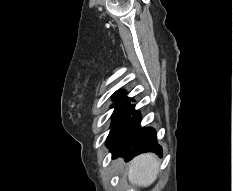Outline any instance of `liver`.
Here are the masks:
<instances>
[{"instance_id":"6515ba94","label":"liver","mask_w":233,"mask_h":191,"mask_svg":"<svg viewBox=\"0 0 233 191\" xmlns=\"http://www.w3.org/2000/svg\"><path fill=\"white\" fill-rule=\"evenodd\" d=\"M159 165L160 160L153 153L135 157L129 165V181L139 187L150 186L157 178Z\"/></svg>"}]
</instances>
